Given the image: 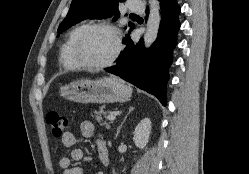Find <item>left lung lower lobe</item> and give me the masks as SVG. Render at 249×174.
<instances>
[{
	"instance_id": "left-lung-lower-lobe-1",
	"label": "left lung lower lobe",
	"mask_w": 249,
	"mask_h": 174,
	"mask_svg": "<svg viewBox=\"0 0 249 174\" xmlns=\"http://www.w3.org/2000/svg\"><path fill=\"white\" fill-rule=\"evenodd\" d=\"M159 1L162 21L158 37L150 49L144 51L143 39L134 44L128 36L123 40L127 47L118 59L119 65L105 70L153 94L165 106L168 68L172 63V51L176 46V36L180 29V7L177 0ZM148 13L147 8V16Z\"/></svg>"
}]
</instances>
